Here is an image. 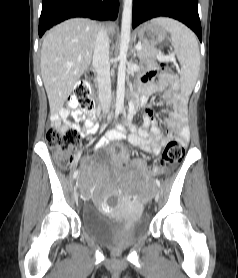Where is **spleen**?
<instances>
[{"label":"spleen","instance_id":"spleen-1","mask_svg":"<svg viewBox=\"0 0 238 278\" xmlns=\"http://www.w3.org/2000/svg\"><path fill=\"white\" fill-rule=\"evenodd\" d=\"M153 21L171 34V45L181 64L182 91L190 95L196 84L200 66L197 38L189 28L174 19L160 17Z\"/></svg>","mask_w":238,"mask_h":278}]
</instances>
